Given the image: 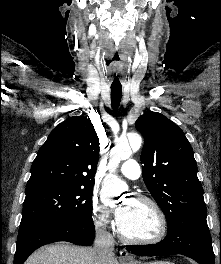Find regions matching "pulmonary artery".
Instances as JSON below:
<instances>
[{
	"label": "pulmonary artery",
	"mask_w": 221,
	"mask_h": 264,
	"mask_svg": "<svg viewBox=\"0 0 221 264\" xmlns=\"http://www.w3.org/2000/svg\"><path fill=\"white\" fill-rule=\"evenodd\" d=\"M121 174L128 179H138L141 175V169L138 162L134 159L126 160L121 168Z\"/></svg>",
	"instance_id": "pulmonary-artery-1"
}]
</instances>
